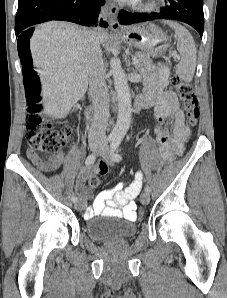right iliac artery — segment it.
<instances>
[{
	"instance_id": "right-iliac-artery-1",
	"label": "right iliac artery",
	"mask_w": 227,
	"mask_h": 298,
	"mask_svg": "<svg viewBox=\"0 0 227 298\" xmlns=\"http://www.w3.org/2000/svg\"><path fill=\"white\" fill-rule=\"evenodd\" d=\"M112 140L111 138H108V141ZM96 160V154L95 153H92L90 154L86 160H85V165L86 166H90L92 165ZM73 202H76L77 201V197L76 196H73L72 199H71Z\"/></svg>"
}]
</instances>
